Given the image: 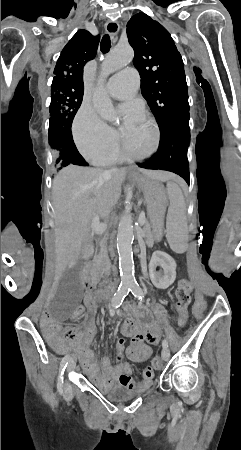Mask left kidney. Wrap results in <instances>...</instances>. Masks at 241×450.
<instances>
[{"label":"left kidney","instance_id":"1","mask_svg":"<svg viewBox=\"0 0 241 450\" xmlns=\"http://www.w3.org/2000/svg\"><path fill=\"white\" fill-rule=\"evenodd\" d=\"M157 266L162 268L160 272H156ZM149 274L155 288L166 290L176 278V262L165 252H153L149 264Z\"/></svg>","mask_w":241,"mask_h":450}]
</instances>
